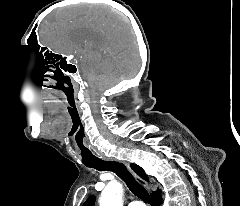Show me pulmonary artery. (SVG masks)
Listing matches in <instances>:
<instances>
[{
	"mask_svg": "<svg viewBox=\"0 0 240 206\" xmlns=\"http://www.w3.org/2000/svg\"><path fill=\"white\" fill-rule=\"evenodd\" d=\"M128 206H145V205L140 201H132L128 204Z\"/></svg>",
	"mask_w": 240,
	"mask_h": 206,
	"instance_id": "pulmonary-artery-1",
	"label": "pulmonary artery"
}]
</instances>
